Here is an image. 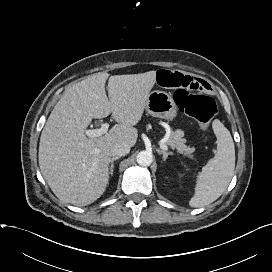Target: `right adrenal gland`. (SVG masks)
Returning a JSON list of instances; mask_svg holds the SVG:
<instances>
[{"label": "right adrenal gland", "mask_w": 272, "mask_h": 272, "mask_svg": "<svg viewBox=\"0 0 272 272\" xmlns=\"http://www.w3.org/2000/svg\"><path fill=\"white\" fill-rule=\"evenodd\" d=\"M120 157H113L110 161V166H109V174L112 176L114 172V162L118 160Z\"/></svg>", "instance_id": "2a0ac1e0"}]
</instances>
